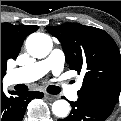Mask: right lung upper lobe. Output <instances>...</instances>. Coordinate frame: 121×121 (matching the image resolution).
<instances>
[{
  "mask_svg": "<svg viewBox=\"0 0 121 121\" xmlns=\"http://www.w3.org/2000/svg\"><path fill=\"white\" fill-rule=\"evenodd\" d=\"M38 30L34 25L1 23V89L8 59H15L26 36Z\"/></svg>",
  "mask_w": 121,
  "mask_h": 121,
  "instance_id": "1",
  "label": "right lung upper lobe"
}]
</instances>
